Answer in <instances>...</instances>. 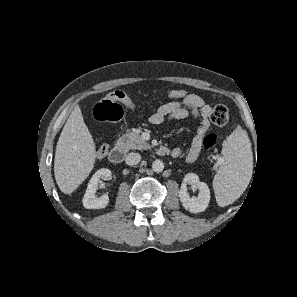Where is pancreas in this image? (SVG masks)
<instances>
[{"label":"pancreas","mask_w":297,"mask_h":297,"mask_svg":"<svg viewBox=\"0 0 297 297\" xmlns=\"http://www.w3.org/2000/svg\"><path fill=\"white\" fill-rule=\"evenodd\" d=\"M125 151L150 149L151 146L142 138L138 131H132L122 135L117 142Z\"/></svg>","instance_id":"obj_1"}]
</instances>
